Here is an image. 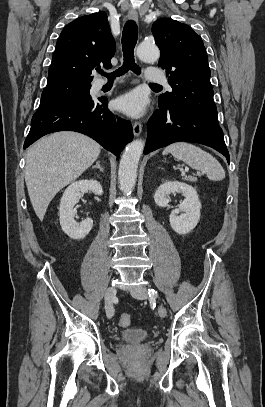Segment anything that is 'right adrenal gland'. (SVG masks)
I'll list each match as a JSON object with an SVG mask.
<instances>
[{
    "mask_svg": "<svg viewBox=\"0 0 265 407\" xmlns=\"http://www.w3.org/2000/svg\"><path fill=\"white\" fill-rule=\"evenodd\" d=\"M92 169H99L101 172H103V168L100 165V161H97L96 165H94Z\"/></svg>",
    "mask_w": 265,
    "mask_h": 407,
    "instance_id": "1",
    "label": "right adrenal gland"
}]
</instances>
